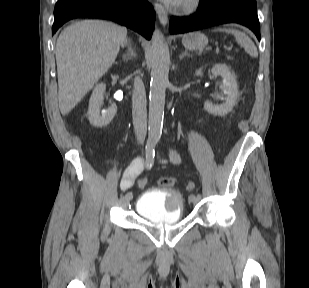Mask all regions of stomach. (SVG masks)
I'll return each instance as SVG.
<instances>
[{"label": "stomach", "mask_w": 309, "mask_h": 288, "mask_svg": "<svg viewBox=\"0 0 309 288\" xmlns=\"http://www.w3.org/2000/svg\"><path fill=\"white\" fill-rule=\"evenodd\" d=\"M182 43L187 49L196 50L205 47L208 43V39L199 32H192L183 36Z\"/></svg>", "instance_id": "1"}]
</instances>
